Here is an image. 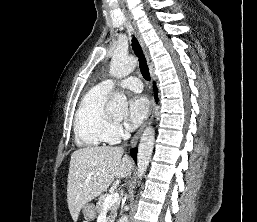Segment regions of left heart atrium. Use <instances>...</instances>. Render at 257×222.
<instances>
[{"label": "left heart atrium", "instance_id": "obj_1", "mask_svg": "<svg viewBox=\"0 0 257 222\" xmlns=\"http://www.w3.org/2000/svg\"><path fill=\"white\" fill-rule=\"evenodd\" d=\"M149 112V102L143 95L134 96L128 106L127 125L129 129H135L146 118Z\"/></svg>", "mask_w": 257, "mask_h": 222}]
</instances>
